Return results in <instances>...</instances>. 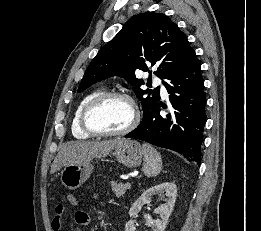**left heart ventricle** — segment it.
Listing matches in <instances>:
<instances>
[{
    "label": "left heart ventricle",
    "mask_w": 261,
    "mask_h": 231,
    "mask_svg": "<svg viewBox=\"0 0 261 231\" xmlns=\"http://www.w3.org/2000/svg\"><path fill=\"white\" fill-rule=\"evenodd\" d=\"M133 109L122 98H111L98 105L89 115L91 125L99 131H119L131 122Z\"/></svg>",
    "instance_id": "obj_1"
}]
</instances>
